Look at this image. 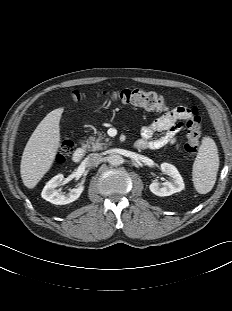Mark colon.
<instances>
[{"label":"colon","mask_w":232,"mask_h":311,"mask_svg":"<svg viewBox=\"0 0 232 311\" xmlns=\"http://www.w3.org/2000/svg\"><path fill=\"white\" fill-rule=\"evenodd\" d=\"M113 97L121 103L144 108L150 111H162L165 108V99L162 95L155 92L145 91L139 88L122 89L114 92ZM80 94L75 92L72 94L73 101H79ZM187 142L184 145L186 153L193 156L197 153L200 139V117L197 108H189L187 118ZM74 148V143L70 140H64L60 144L59 151L55 156V163L60 165L65 162L67 155Z\"/></svg>","instance_id":"1"}]
</instances>
